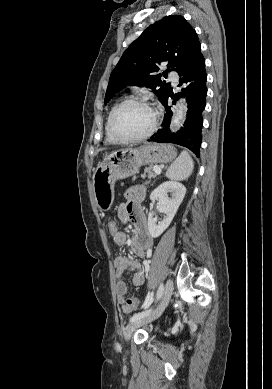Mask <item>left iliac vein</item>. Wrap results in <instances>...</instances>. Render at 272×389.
Masks as SVG:
<instances>
[{
	"label": "left iliac vein",
	"instance_id": "obj_1",
	"mask_svg": "<svg viewBox=\"0 0 272 389\" xmlns=\"http://www.w3.org/2000/svg\"><path fill=\"white\" fill-rule=\"evenodd\" d=\"M173 288H174L173 281L171 279H169L165 284V287H164V290L162 293V298H161L159 305L153 311L148 313L147 315L141 317L140 319H137V320L131 322L128 325V327L126 328V331H125V335H124L126 341L130 340L134 331L137 328L157 319L162 314V312L166 308V306H167V304L172 296Z\"/></svg>",
	"mask_w": 272,
	"mask_h": 389
}]
</instances>
